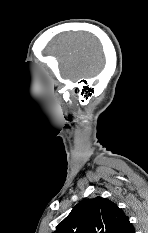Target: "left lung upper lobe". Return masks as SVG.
I'll list each match as a JSON object with an SVG mask.
<instances>
[{"instance_id": "5c2ea615", "label": "left lung upper lobe", "mask_w": 148, "mask_h": 233, "mask_svg": "<svg viewBox=\"0 0 148 233\" xmlns=\"http://www.w3.org/2000/svg\"><path fill=\"white\" fill-rule=\"evenodd\" d=\"M132 227L115 203L95 197L79 202L53 233H128Z\"/></svg>"}]
</instances>
